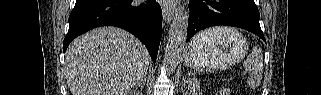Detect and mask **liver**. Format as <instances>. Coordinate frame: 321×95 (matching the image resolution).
Instances as JSON below:
<instances>
[{"label": "liver", "instance_id": "6515ba94", "mask_svg": "<svg viewBox=\"0 0 321 95\" xmlns=\"http://www.w3.org/2000/svg\"><path fill=\"white\" fill-rule=\"evenodd\" d=\"M149 64L138 39L120 28L102 27L71 42L64 73L72 95H126L146 76Z\"/></svg>", "mask_w": 321, "mask_h": 95}]
</instances>
